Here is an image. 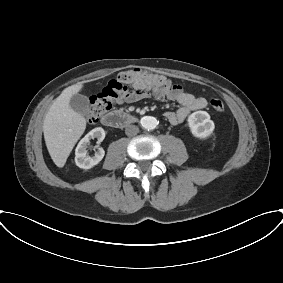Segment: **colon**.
<instances>
[{
  "label": "colon",
  "mask_w": 283,
  "mask_h": 283,
  "mask_svg": "<svg viewBox=\"0 0 283 283\" xmlns=\"http://www.w3.org/2000/svg\"><path fill=\"white\" fill-rule=\"evenodd\" d=\"M169 84L165 76L147 70L132 68L123 71L116 79L110 81L101 93L92 97L88 120L90 123L98 122L111 109L114 100L125 90H134L136 94L149 95L154 91L168 88ZM209 104L216 112H223L225 109L223 101L218 98H212Z\"/></svg>",
  "instance_id": "colon-1"
}]
</instances>
